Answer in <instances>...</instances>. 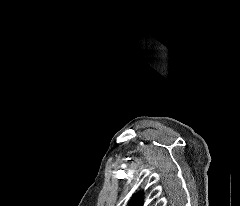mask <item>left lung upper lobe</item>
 Here are the masks:
<instances>
[{
    "label": "left lung upper lobe",
    "mask_w": 240,
    "mask_h": 206,
    "mask_svg": "<svg viewBox=\"0 0 240 206\" xmlns=\"http://www.w3.org/2000/svg\"><path fill=\"white\" fill-rule=\"evenodd\" d=\"M142 193L136 194L129 204V206H142Z\"/></svg>",
    "instance_id": "1"
}]
</instances>
